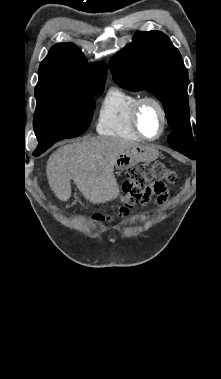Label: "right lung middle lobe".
Masks as SVG:
<instances>
[{"mask_svg": "<svg viewBox=\"0 0 221 379\" xmlns=\"http://www.w3.org/2000/svg\"><path fill=\"white\" fill-rule=\"evenodd\" d=\"M104 86L36 97L33 127L38 139L37 149L50 148L64 138L83 134L90 125L96 94Z\"/></svg>", "mask_w": 221, "mask_h": 379, "instance_id": "obj_1", "label": "right lung middle lobe"}]
</instances>
